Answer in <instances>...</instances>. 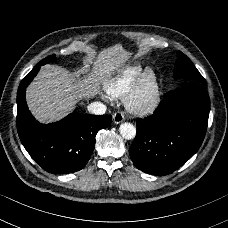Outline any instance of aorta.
Returning <instances> with one entry per match:
<instances>
[{
  "label": "aorta",
  "instance_id": "762f6f07",
  "mask_svg": "<svg viewBox=\"0 0 228 228\" xmlns=\"http://www.w3.org/2000/svg\"><path fill=\"white\" fill-rule=\"evenodd\" d=\"M137 130L131 123H123L120 126V134L126 140H132L136 137Z\"/></svg>",
  "mask_w": 228,
  "mask_h": 228
}]
</instances>
